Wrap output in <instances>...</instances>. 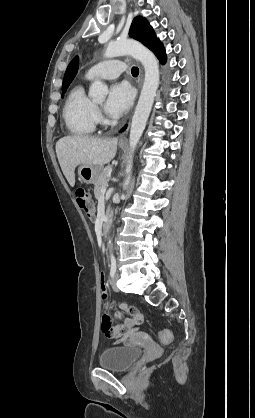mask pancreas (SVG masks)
I'll return each mask as SVG.
<instances>
[{
    "instance_id": "cf45deb5",
    "label": "pancreas",
    "mask_w": 255,
    "mask_h": 418,
    "mask_svg": "<svg viewBox=\"0 0 255 418\" xmlns=\"http://www.w3.org/2000/svg\"><path fill=\"white\" fill-rule=\"evenodd\" d=\"M111 171V166L105 167L97 180L94 182V195L95 198H98L101 195L102 187H106L108 185V175Z\"/></svg>"
}]
</instances>
